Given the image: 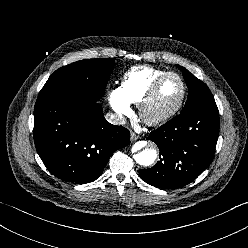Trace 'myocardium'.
Instances as JSON below:
<instances>
[{
	"label": "myocardium",
	"mask_w": 248,
	"mask_h": 248,
	"mask_svg": "<svg viewBox=\"0 0 248 248\" xmlns=\"http://www.w3.org/2000/svg\"><path fill=\"white\" fill-rule=\"evenodd\" d=\"M169 76H175L179 79L182 87L180 98L177 101V103L172 107L163 111H154L153 103L157 95V92L159 90V87L162 84V82ZM186 94H187V86L182 76L176 72H165L152 83L145 97L141 101L139 107L140 117L148 125L151 126L160 125L166 122L167 120H169L170 118H172L181 109V107L184 104Z\"/></svg>",
	"instance_id": "1"
}]
</instances>
